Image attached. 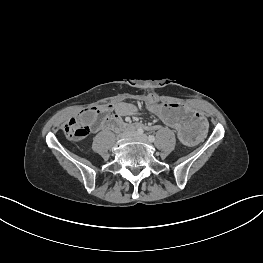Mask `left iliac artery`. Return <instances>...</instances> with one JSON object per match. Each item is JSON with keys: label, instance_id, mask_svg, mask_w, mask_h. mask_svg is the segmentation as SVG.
I'll list each match as a JSON object with an SVG mask.
<instances>
[{"label": "left iliac artery", "instance_id": "left-iliac-artery-1", "mask_svg": "<svg viewBox=\"0 0 263 263\" xmlns=\"http://www.w3.org/2000/svg\"><path fill=\"white\" fill-rule=\"evenodd\" d=\"M148 140L150 142H154L155 141V137L153 135H149Z\"/></svg>", "mask_w": 263, "mask_h": 263}]
</instances>
